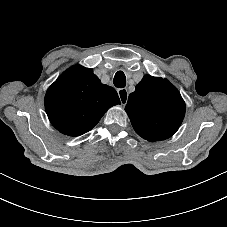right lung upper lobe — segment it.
<instances>
[{"label": "right lung upper lobe", "mask_w": 227, "mask_h": 227, "mask_svg": "<svg viewBox=\"0 0 227 227\" xmlns=\"http://www.w3.org/2000/svg\"><path fill=\"white\" fill-rule=\"evenodd\" d=\"M120 104L116 90L80 65L66 70L47 90L45 110L61 133L79 136L91 130L104 113Z\"/></svg>", "instance_id": "obj_1"}]
</instances>
